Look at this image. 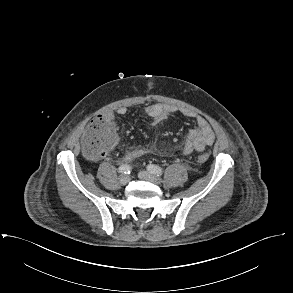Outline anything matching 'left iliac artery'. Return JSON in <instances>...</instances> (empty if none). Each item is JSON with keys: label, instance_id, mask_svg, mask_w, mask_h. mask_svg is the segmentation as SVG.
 I'll return each mask as SVG.
<instances>
[{"label": "left iliac artery", "instance_id": "obj_1", "mask_svg": "<svg viewBox=\"0 0 293 293\" xmlns=\"http://www.w3.org/2000/svg\"><path fill=\"white\" fill-rule=\"evenodd\" d=\"M147 170L154 174L155 176H161L162 173H163V170L161 167L157 166V165H153V164H150L147 166Z\"/></svg>", "mask_w": 293, "mask_h": 293}]
</instances>
